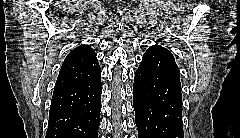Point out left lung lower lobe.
<instances>
[{
  "label": "left lung lower lobe",
  "mask_w": 240,
  "mask_h": 138,
  "mask_svg": "<svg viewBox=\"0 0 240 138\" xmlns=\"http://www.w3.org/2000/svg\"><path fill=\"white\" fill-rule=\"evenodd\" d=\"M143 57L133 85L138 138H184L180 73L173 55L155 45Z\"/></svg>",
  "instance_id": "obj_1"
}]
</instances>
